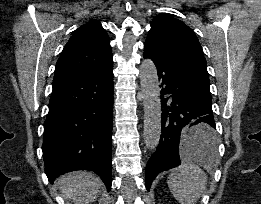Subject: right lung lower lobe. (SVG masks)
Returning <instances> with one entry per match:
<instances>
[{"mask_svg": "<svg viewBox=\"0 0 261 204\" xmlns=\"http://www.w3.org/2000/svg\"><path fill=\"white\" fill-rule=\"evenodd\" d=\"M113 92V62L53 82L42 145L50 182L70 171L92 170L110 191Z\"/></svg>", "mask_w": 261, "mask_h": 204, "instance_id": "98d812e1", "label": "right lung lower lobe"}]
</instances>
